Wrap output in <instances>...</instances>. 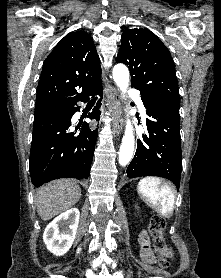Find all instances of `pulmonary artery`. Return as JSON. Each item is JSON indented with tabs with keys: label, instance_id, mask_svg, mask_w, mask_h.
<instances>
[{
	"label": "pulmonary artery",
	"instance_id": "1",
	"mask_svg": "<svg viewBox=\"0 0 221 278\" xmlns=\"http://www.w3.org/2000/svg\"><path fill=\"white\" fill-rule=\"evenodd\" d=\"M130 96H131L132 98H134V100L136 101V103H137V105H138V108H139V110H140V112H141L143 118H145V117H146L145 107H144V105H143V102H142V100H141V98H140L138 92H137L136 90H131V91H130Z\"/></svg>",
	"mask_w": 221,
	"mask_h": 278
}]
</instances>
